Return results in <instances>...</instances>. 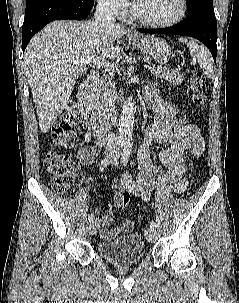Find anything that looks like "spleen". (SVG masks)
I'll return each instance as SVG.
<instances>
[{
    "mask_svg": "<svg viewBox=\"0 0 239 303\" xmlns=\"http://www.w3.org/2000/svg\"><path fill=\"white\" fill-rule=\"evenodd\" d=\"M179 42L187 44L191 57L197 60L204 74L211 78L213 75V59L209 51L204 46L199 45L194 41L179 38Z\"/></svg>",
    "mask_w": 239,
    "mask_h": 303,
    "instance_id": "3e777b00",
    "label": "spleen"
}]
</instances>
